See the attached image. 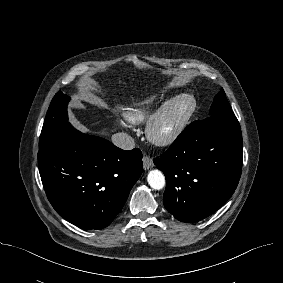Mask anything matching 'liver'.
<instances>
[{
    "label": "liver",
    "mask_w": 283,
    "mask_h": 283,
    "mask_svg": "<svg viewBox=\"0 0 283 283\" xmlns=\"http://www.w3.org/2000/svg\"><path fill=\"white\" fill-rule=\"evenodd\" d=\"M74 123H75L79 128H81L82 130H86V128H85L83 125H81L78 121L74 120Z\"/></svg>",
    "instance_id": "6515ba94"
}]
</instances>
